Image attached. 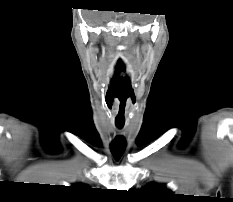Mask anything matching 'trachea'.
Listing matches in <instances>:
<instances>
[{
	"mask_svg": "<svg viewBox=\"0 0 233 202\" xmlns=\"http://www.w3.org/2000/svg\"><path fill=\"white\" fill-rule=\"evenodd\" d=\"M117 127H118V128H122V127H123V125H117Z\"/></svg>",
	"mask_w": 233,
	"mask_h": 202,
	"instance_id": "obj_1",
	"label": "trachea"
}]
</instances>
